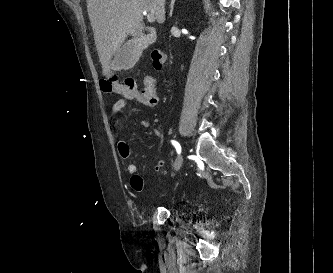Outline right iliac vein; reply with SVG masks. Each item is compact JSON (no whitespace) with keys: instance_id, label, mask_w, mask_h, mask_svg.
I'll return each mask as SVG.
<instances>
[{"instance_id":"1","label":"right iliac vein","mask_w":333,"mask_h":273,"mask_svg":"<svg viewBox=\"0 0 333 273\" xmlns=\"http://www.w3.org/2000/svg\"><path fill=\"white\" fill-rule=\"evenodd\" d=\"M182 164H183V158L181 155H179L175 162V167H174L175 171H178L181 168Z\"/></svg>"}]
</instances>
